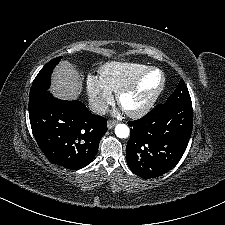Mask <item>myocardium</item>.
Wrapping results in <instances>:
<instances>
[{
  "label": "myocardium",
  "instance_id": "f54148a6",
  "mask_svg": "<svg viewBox=\"0 0 225 225\" xmlns=\"http://www.w3.org/2000/svg\"><path fill=\"white\" fill-rule=\"evenodd\" d=\"M151 72L158 73L160 76L159 86L154 91V93L146 100V102L140 108H138L136 110H127V109L123 108V106H122L123 99L126 96L137 92L141 86V83L145 79V77ZM165 84H166V78L161 69H159L157 67H153V66L147 67L130 84H128L127 86L122 88L117 93V96H116L117 103L123 109L125 114L127 116H129L130 118H141V117L145 116L153 108L154 104L156 103V101L158 100V98L160 97L162 92L164 91Z\"/></svg>",
  "mask_w": 225,
  "mask_h": 225
}]
</instances>
